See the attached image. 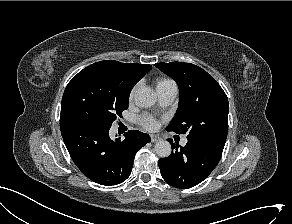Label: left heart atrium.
Listing matches in <instances>:
<instances>
[{"label": "left heart atrium", "mask_w": 292, "mask_h": 224, "mask_svg": "<svg viewBox=\"0 0 292 224\" xmlns=\"http://www.w3.org/2000/svg\"><path fill=\"white\" fill-rule=\"evenodd\" d=\"M141 124L145 129L149 131L156 130L158 127L157 121L148 115H145L141 118Z\"/></svg>", "instance_id": "1"}]
</instances>
